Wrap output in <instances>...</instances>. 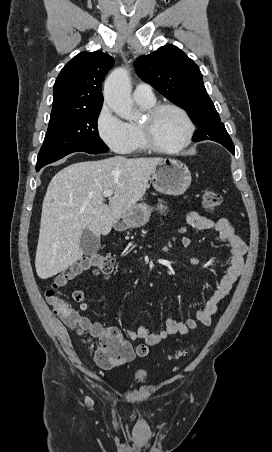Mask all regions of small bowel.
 Returning <instances> with one entry per match:
<instances>
[{
	"mask_svg": "<svg viewBox=\"0 0 272 452\" xmlns=\"http://www.w3.org/2000/svg\"><path fill=\"white\" fill-rule=\"evenodd\" d=\"M186 225L197 230L215 229L219 234L220 241L229 246V264L226 267L225 273L214 294L206 302L204 307L196 312L194 318H188L185 321L167 319L165 329L156 333L151 332L145 327L128 328L127 336L130 339H142L144 341L143 344L137 346H144L147 349V352L141 355L137 354L136 351L132 349L119 329L114 327H103L99 323H93L74 309H72L70 315L60 316L66 326L75 330L79 335L88 333L94 340H98L102 335L122 339L130 347L131 357L129 360H132L135 355L145 356L148 353V347L160 343L169 336L185 335L189 333L198 326V323L205 326L211 325L212 318L217 313L219 304L229 295L234 283L244 271V256L247 253L248 248L246 243L235 234L234 228L228 218L221 217L212 219L191 211L186 215ZM178 231L184 234L187 229L185 226H180ZM190 244L191 240L187 236H184L181 239V246L183 249H187ZM192 262L194 263L195 260L193 259ZM128 271V268L124 269V273H127ZM72 297L73 300L79 304V309L81 311H88L90 309V304L86 300L83 291L75 290L72 293Z\"/></svg>",
	"mask_w": 272,
	"mask_h": 452,
	"instance_id": "small-bowel-1",
	"label": "small bowel"
}]
</instances>
